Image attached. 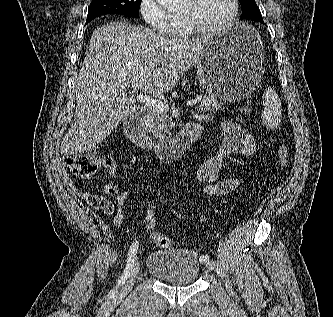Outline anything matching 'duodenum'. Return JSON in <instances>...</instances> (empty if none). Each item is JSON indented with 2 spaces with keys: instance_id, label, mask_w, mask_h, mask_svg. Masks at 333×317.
<instances>
[{
  "instance_id": "obj_1",
  "label": "duodenum",
  "mask_w": 333,
  "mask_h": 317,
  "mask_svg": "<svg viewBox=\"0 0 333 317\" xmlns=\"http://www.w3.org/2000/svg\"><path fill=\"white\" fill-rule=\"evenodd\" d=\"M128 138L138 147L152 151L164 162H174L185 155L201 133V124L191 121L184 125L176 137L172 139H155L145 128L144 120L140 115H130L124 122Z\"/></svg>"
}]
</instances>
